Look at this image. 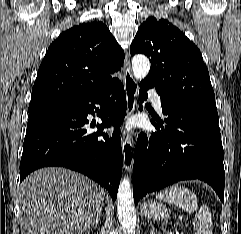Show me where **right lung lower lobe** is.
I'll list each match as a JSON object with an SVG mask.
<instances>
[{
	"instance_id": "right-lung-lower-lobe-1",
	"label": "right lung lower lobe",
	"mask_w": 241,
	"mask_h": 234,
	"mask_svg": "<svg viewBox=\"0 0 241 234\" xmlns=\"http://www.w3.org/2000/svg\"><path fill=\"white\" fill-rule=\"evenodd\" d=\"M100 104L102 108H95ZM126 94L114 79L93 95L53 108L29 112L20 162V181L41 167L60 166L81 172L104 187L115 200L122 174L120 125L126 113ZM101 118L99 130L87 120L88 114ZM115 126L112 136L103 133Z\"/></svg>"
}]
</instances>
